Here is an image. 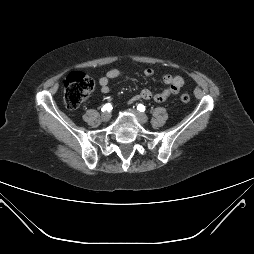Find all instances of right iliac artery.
<instances>
[{"mask_svg": "<svg viewBox=\"0 0 254 254\" xmlns=\"http://www.w3.org/2000/svg\"><path fill=\"white\" fill-rule=\"evenodd\" d=\"M111 109H112L111 104H110V103H107V104H105V105L102 107L101 111L104 112V111H109V110H111Z\"/></svg>", "mask_w": 254, "mask_h": 254, "instance_id": "1", "label": "right iliac artery"}]
</instances>
